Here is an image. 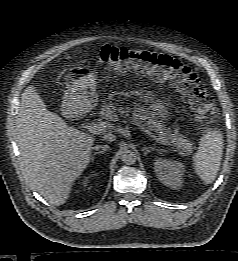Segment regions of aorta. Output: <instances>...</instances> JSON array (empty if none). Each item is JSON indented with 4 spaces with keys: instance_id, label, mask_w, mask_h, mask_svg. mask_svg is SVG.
I'll return each instance as SVG.
<instances>
[{
    "instance_id": "aorta-1",
    "label": "aorta",
    "mask_w": 238,
    "mask_h": 261,
    "mask_svg": "<svg viewBox=\"0 0 238 261\" xmlns=\"http://www.w3.org/2000/svg\"><path fill=\"white\" fill-rule=\"evenodd\" d=\"M137 156L133 150L125 149L121 152V160L126 165H132L136 162Z\"/></svg>"
}]
</instances>
